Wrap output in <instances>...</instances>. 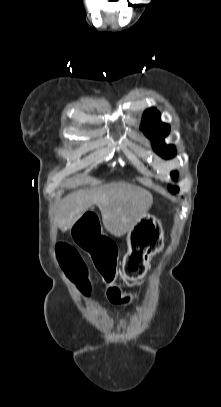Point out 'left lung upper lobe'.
Listing matches in <instances>:
<instances>
[{
  "instance_id": "left-lung-upper-lobe-1",
  "label": "left lung upper lobe",
  "mask_w": 221,
  "mask_h": 407,
  "mask_svg": "<svg viewBox=\"0 0 221 407\" xmlns=\"http://www.w3.org/2000/svg\"><path fill=\"white\" fill-rule=\"evenodd\" d=\"M142 130L153 142L155 152L163 158H171L175 155L173 145H165L163 140L169 133V125L160 121V113L155 109H148L143 114ZM177 172L172 173L173 178H177ZM171 193L179 191L178 187L169 186Z\"/></svg>"
}]
</instances>
